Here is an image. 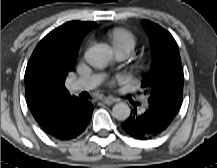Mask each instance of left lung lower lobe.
I'll return each instance as SVG.
<instances>
[{"label": "left lung lower lobe", "mask_w": 217, "mask_h": 168, "mask_svg": "<svg viewBox=\"0 0 217 168\" xmlns=\"http://www.w3.org/2000/svg\"><path fill=\"white\" fill-rule=\"evenodd\" d=\"M176 111L166 106L149 102L148 109L141 115L133 116L122 124V128L131 136L145 139L156 136L171 123Z\"/></svg>", "instance_id": "obj_1"}]
</instances>
